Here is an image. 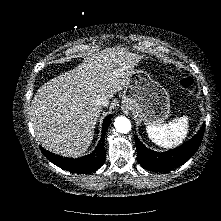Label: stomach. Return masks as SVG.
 <instances>
[{"mask_svg":"<svg viewBox=\"0 0 221 221\" xmlns=\"http://www.w3.org/2000/svg\"><path fill=\"white\" fill-rule=\"evenodd\" d=\"M122 105L147 125L161 124L170 113L166 89L141 69L134 70L125 85Z\"/></svg>","mask_w":221,"mask_h":221,"instance_id":"stomach-1","label":"stomach"}]
</instances>
